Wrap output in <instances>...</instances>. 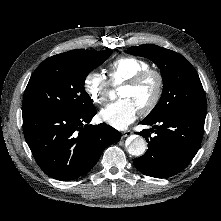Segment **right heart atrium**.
<instances>
[{
	"label": "right heart atrium",
	"mask_w": 221,
	"mask_h": 221,
	"mask_svg": "<svg viewBox=\"0 0 221 221\" xmlns=\"http://www.w3.org/2000/svg\"><path fill=\"white\" fill-rule=\"evenodd\" d=\"M109 86L105 75L97 70L88 72L83 79V90L95 104L105 101Z\"/></svg>",
	"instance_id": "d8ad5b80"
}]
</instances>
